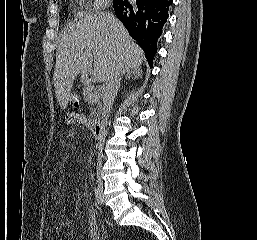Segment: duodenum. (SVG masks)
Masks as SVG:
<instances>
[{
  "label": "duodenum",
  "instance_id": "duodenum-1",
  "mask_svg": "<svg viewBox=\"0 0 257 240\" xmlns=\"http://www.w3.org/2000/svg\"><path fill=\"white\" fill-rule=\"evenodd\" d=\"M91 129L95 140L101 143L104 136V125L100 117H96L91 123Z\"/></svg>",
  "mask_w": 257,
  "mask_h": 240
}]
</instances>
